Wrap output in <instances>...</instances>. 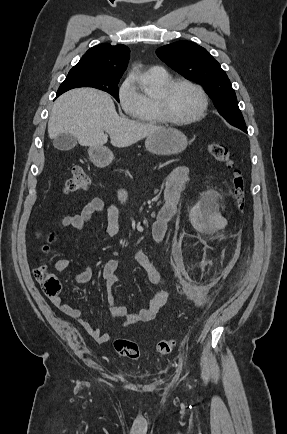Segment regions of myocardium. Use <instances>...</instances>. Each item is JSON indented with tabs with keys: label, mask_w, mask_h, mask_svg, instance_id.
Masks as SVG:
<instances>
[{
	"label": "myocardium",
	"mask_w": 287,
	"mask_h": 434,
	"mask_svg": "<svg viewBox=\"0 0 287 434\" xmlns=\"http://www.w3.org/2000/svg\"><path fill=\"white\" fill-rule=\"evenodd\" d=\"M178 85L189 86L199 94L201 105L198 112L192 117L186 119H176L173 118L167 110L166 99L168 97V94L171 92L173 88H175ZM154 101H155L157 112L161 117V119L164 122H167L172 125H178V126L188 125L199 121L205 116L208 108V96L205 90L199 84L184 78H172L169 81H167L165 84L158 87V91L154 96Z\"/></svg>",
	"instance_id": "1"
}]
</instances>
